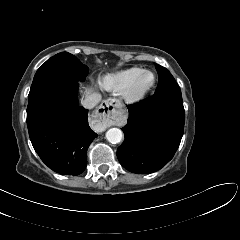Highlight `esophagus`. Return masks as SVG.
<instances>
[{"mask_svg":"<svg viewBox=\"0 0 240 240\" xmlns=\"http://www.w3.org/2000/svg\"><path fill=\"white\" fill-rule=\"evenodd\" d=\"M119 107V101L116 99H107L102 102L95 112V120L104 128L111 126L115 119V108Z\"/></svg>","mask_w":240,"mask_h":240,"instance_id":"obj_1","label":"esophagus"}]
</instances>
